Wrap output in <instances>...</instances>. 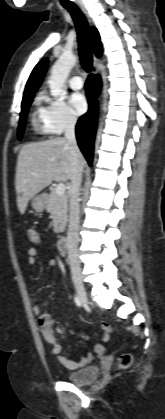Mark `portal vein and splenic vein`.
<instances>
[{"label":"portal vein and splenic vein","mask_w":165,"mask_h":419,"mask_svg":"<svg viewBox=\"0 0 165 419\" xmlns=\"http://www.w3.org/2000/svg\"><path fill=\"white\" fill-rule=\"evenodd\" d=\"M65 184L64 183H58V185L55 188L56 194L61 196L65 193Z\"/></svg>","instance_id":"obj_1"}]
</instances>
